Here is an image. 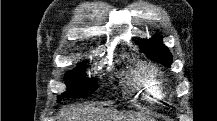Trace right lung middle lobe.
Returning <instances> with one entry per match:
<instances>
[{
	"label": "right lung middle lobe",
	"instance_id": "dd1d6c3e",
	"mask_svg": "<svg viewBox=\"0 0 217 121\" xmlns=\"http://www.w3.org/2000/svg\"><path fill=\"white\" fill-rule=\"evenodd\" d=\"M83 66L84 64L65 74V81L69 89L62 97H87L97 90L98 86L95 79L83 80ZM58 98L60 100L61 96Z\"/></svg>",
	"mask_w": 217,
	"mask_h": 121
}]
</instances>
